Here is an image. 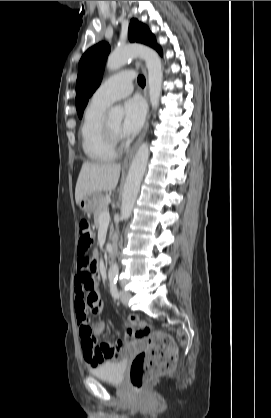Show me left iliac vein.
<instances>
[{
    "label": "left iliac vein",
    "mask_w": 271,
    "mask_h": 418,
    "mask_svg": "<svg viewBox=\"0 0 271 418\" xmlns=\"http://www.w3.org/2000/svg\"><path fill=\"white\" fill-rule=\"evenodd\" d=\"M131 297H132V295L128 291L122 290L120 292L121 301L125 306L128 305L129 300L131 299Z\"/></svg>",
    "instance_id": "4c4485c4"
}]
</instances>
